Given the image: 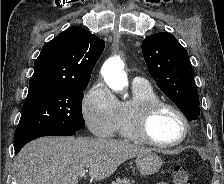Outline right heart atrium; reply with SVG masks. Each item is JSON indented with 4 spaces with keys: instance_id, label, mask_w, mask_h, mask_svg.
Masks as SVG:
<instances>
[{
    "instance_id": "1",
    "label": "right heart atrium",
    "mask_w": 224,
    "mask_h": 184,
    "mask_svg": "<svg viewBox=\"0 0 224 184\" xmlns=\"http://www.w3.org/2000/svg\"><path fill=\"white\" fill-rule=\"evenodd\" d=\"M119 101L102 81L95 82L82 101V115L96 136L108 137L115 132Z\"/></svg>"
}]
</instances>
